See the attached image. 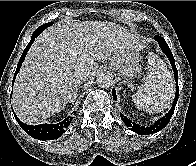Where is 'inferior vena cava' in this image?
Segmentation results:
<instances>
[{
	"mask_svg": "<svg viewBox=\"0 0 196 166\" xmlns=\"http://www.w3.org/2000/svg\"><path fill=\"white\" fill-rule=\"evenodd\" d=\"M89 77V74L87 72L77 71L74 75V81L77 84H81L85 82Z\"/></svg>",
	"mask_w": 196,
	"mask_h": 166,
	"instance_id": "602c4592",
	"label": "inferior vena cava"
}]
</instances>
